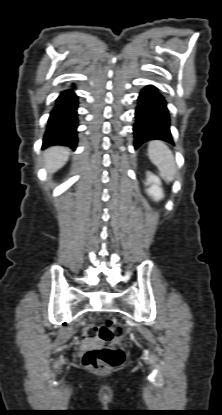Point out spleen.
Instances as JSON below:
<instances>
[{
  "label": "spleen",
  "instance_id": "3e777b00",
  "mask_svg": "<svg viewBox=\"0 0 222 415\" xmlns=\"http://www.w3.org/2000/svg\"><path fill=\"white\" fill-rule=\"evenodd\" d=\"M148 156L159 169L161 176L169 182L173 181L176 174V163L169 147L163 141H151L148 145Z\"/></svg>",
  "mask_w": 222,
  "mask_h": 415
}]
</instances>
